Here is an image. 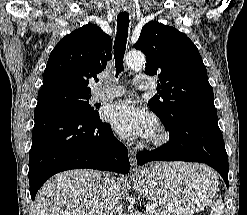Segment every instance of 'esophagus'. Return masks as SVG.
I'll use <instances>...</instances> for the list:
<instances>
[{
  "mask_svg": "<svg viewBox=\"0 0 247 215\" xmlns=\"http://www.w3.org/2000/svg\"><path fill=\"white\" fill-rule=\"evenodd\" d=\"M129 160L131 164V172L134 174L137 173L139 171V168L137 167L136 162V152L132 148H129Z\"/></svg>",
  "mask_w": 247,
  "mask_h": 215,
  "instance_id": "1",
  "label": "esophagus"
}]
</instances>
